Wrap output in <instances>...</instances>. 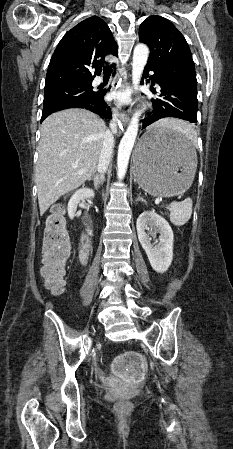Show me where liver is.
<instances>
[{
  "instance_id": "liver-1",
  "label": "liver",
  "mask_w": 233,
  "mask_h": 449,
  "mask_svg": "<svg viewBox=\"0 0 233 449\" xmlns=\"http://www.w3.org/2000/svg\"><path fill=\"white\" fill-rule=\"evenodd\" d=\"M157 124L184 125L175 119ZM107 131L105 122L85 109L56 112L43 121L35 169L41 215L95 174Z\"/></svg>"
}]
</instances>
